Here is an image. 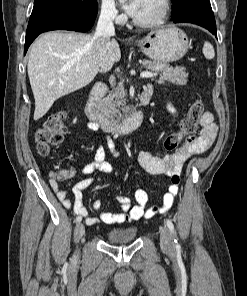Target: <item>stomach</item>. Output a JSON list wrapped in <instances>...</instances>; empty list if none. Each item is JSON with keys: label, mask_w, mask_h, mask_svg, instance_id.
I'll use <instances>...</instances> for the list:
<instances>
[{"label": "stomach", "mask_w": 247, "mask_h": 296, "mask_svg": "<svg viewBox=\"0 0 247 296\" xmlns=\"http://www.w3.org/2000/svg\"><path fill=\"white\" fill-rule=\"evenodd\" d=\"M137 46L150 59L158 63H171L181 59L188 51L187 35L175 26L149 33Z\"/></svg>", "instance_id": "stomach-1"}]
</instances>
